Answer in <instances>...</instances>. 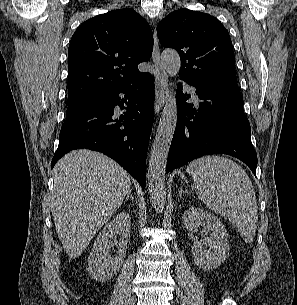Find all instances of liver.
Returning a JSON list of instances; mask_svg holds the SVG:
<instances>
[{
  "label": "liver",
  "mask_w": 297,
  "mask_h": 305,
  "mask_svg": "<svg viewBox=\"0 0 297 305\" xmlns=\"http://www.w3.org/2000/svg\"><path fill=\"white\" fill-rule=\"evenodd\" d=\"M130 175L114 160L86 149L64 155L54 167L51 209L70 258L80 256L122 204Z\"/></svg>",
  "instance_id": "1"
}]
</instances>
